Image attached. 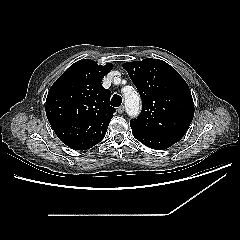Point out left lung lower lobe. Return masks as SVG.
<instances>
[{
  "label": "left lung lower lobe",
  "instance_id": "obj_1",
  "mask_svg": "<svg viewBox=\"0 0 240 240\" xmlns=\"http://www.w3.org/2000/svg\"><path fill=\"white\" fill-rule=\"evenodd\" d=\"M133 136L145 146L155 149L163 150L169 148L176 142H178L183 136L174 134L154 135L143 134L137 131H133Z\"/></svg>",
  "mask_w": 240,
  "mask_h": 240
}]
</instances>
